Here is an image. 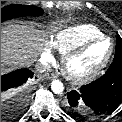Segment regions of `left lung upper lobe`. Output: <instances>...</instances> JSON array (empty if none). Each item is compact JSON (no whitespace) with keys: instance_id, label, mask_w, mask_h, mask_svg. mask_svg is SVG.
<instances>
[{"instance_id":"left-lung-upper-lobe-1","label":"left lung upper lobe","mask_w":122,"mask_h":122,"mask_svg":"<svg viewBox=\"0 0 122 122\" xmlns=\"http://www.w3.org/2000/svg\"><path fill=\"white\" fill-rule=\"evenodd\" d=\"M119 59H122V38L120 36H117L114 60H119Z\"/></svg>"}]
</instances>
